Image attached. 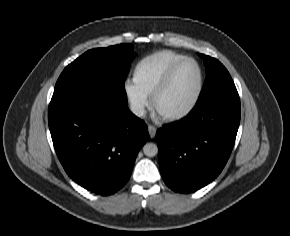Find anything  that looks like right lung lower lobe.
<instances>
[{"mask_svg":"<svg viewBox=\"0 0 290 236\" xmlns=\"http://www.w3.org/2000/svg\"><path fill=\"white\" fill-rule=\"evenodd\" d=\"M48 121L67 174L100 195L113 194L126 184L149 138L146 124L130 112L127 100L51 101Z\"/></svg>","mask_w":290,"mask_h":236,"instance_id":"1","label":"right lung lower lobe"}]
</instances>
